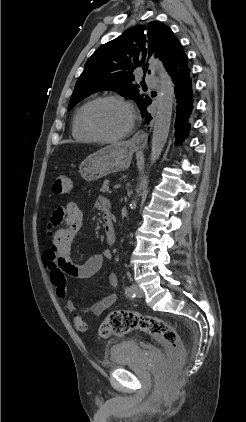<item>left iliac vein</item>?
Here are the masks:
<instances>
[{"label": "left iliac vein", "mask_w": 246, "mask_h": 422, "mask_svg": "<svg viewBox=\"0 0 246 422\" xmlns=\"http://www.w3.org/2000/svg\"><path fill=\"white\" fill-rule=\"evenodd\" d=\"M132 289L135 292V294H136L137 297L141 298V297L144 296L143 290L138 285L133 284L132 285Z\"/></svg>", "instance_id": "1"}]
</instances>
